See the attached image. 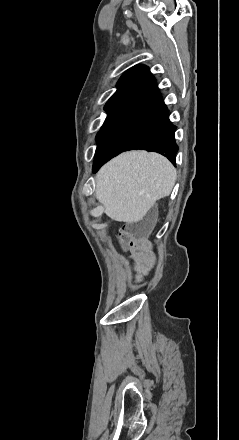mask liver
<instances>
[{
    "label": "liver",
    "mask_w": 239,
    "mask_h": 440,
    "mask_svg": "<svg viewBox=\"0 0 239 440\" xmlns=\"http://www.w3.org/2000/svg\"><path fill=\"white\" fill-rule=\"evenodd\" d=\"M176 178L175 168L164 156L133 150L102 166L95 194L108 218L136 224L157 200L170 196Z\"/></svg>",
    "instance_id": "6515ba94"
}]
</instances>
